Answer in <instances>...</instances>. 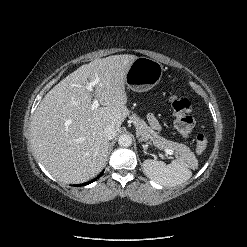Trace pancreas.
<instances>
[{"label":"pancreas","mask_w":247,"mask_h":247,"mask_svg":"<svg viewBox=\"0 0 247 247\" xmlns=\"http://www.w3.org/2000/svg\"><path fill=\"white\" fill-rule=\"evenodd\" d=\"M131 120L136 127L137 136H140L142 141L151 140L153 144L160 149H171L175 152L176 157L185 162H191L195 158L193 152H191L186 145L169 141L159 136L144 120L135 114L131 116Z\"/></svg>","instance_id":"1"}]
</instances>
